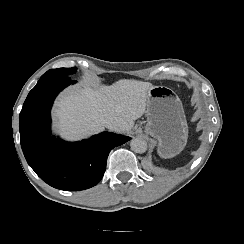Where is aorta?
I'll return each mask as SVG.
<instances>
[{"instance_id":"aorta-1","label":"aorta","mask_w":244,"mask_h":244,"mask_svg":"<svg viewBox=\"0 0 244 244\" xmlns=\"http://www.w3.org/2000/svg\"><path fill=\"white\" fill-rule=\"evenodd\" d=\"M130 146L132 151L136 153H144L147 150V142L140 137L133 138L130 142Z\"/></svg>"}]
</instances>
